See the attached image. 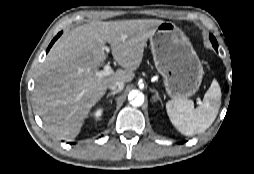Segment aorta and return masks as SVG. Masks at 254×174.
Segmentation results:
<instances>
[{
	"mask_svg": "<svg viewBox=\"0 0 254 174\" xmlns=\"http://www.w3.org/2000/svg\"><path fill=\"white\" fill-rule=\"evenodd\" d=\"M130 104L139 107L144 103V94L138 90H132L128 95Z\"/></svg>",
	"mask_w": 254,
	"mask_h": 174,
	"instance_id": "obj_1",
	"label": "aorta"
}]
</instances>
